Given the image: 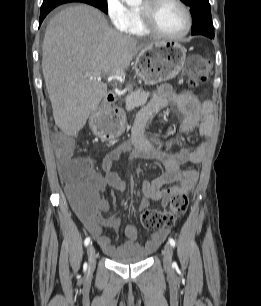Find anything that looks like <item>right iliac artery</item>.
I'll return each mask as SVG.
<instances>
[{"label":"right iliac artery","mask_w":261,"mask_h":306,"mask_svg":"<svg viewBox=\"0 0 261 306\" xmlns=\"http://www.w3.org/2000/svg\"><path fill=\"white\" fill-rule=\"evenodd\" d=\"M89 243H90V237H87L84 241V245L88 246Z\"/></svg>","instance_id":"obj_1"}]
</instances>
